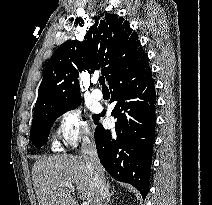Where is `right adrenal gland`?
Instances as JSON below:
<instances>
[{
    "label": "right adrenal gland",
    "instance_id": "1",
    "mask_svg": "<svg viewBox=\"0 0 212 205\" xmlns=\"http://www.w3.org/2000/svg\"><path fill=\"white\" fill-rule=\"evenodd\" d=\"M106 193H107V198H106V205L111 201V196L114 194V190L110 191L109 183H107L106 186Z\"/></svg>",
    "mask_w": 212,
    "mask_h": 205
}]
</instances>
